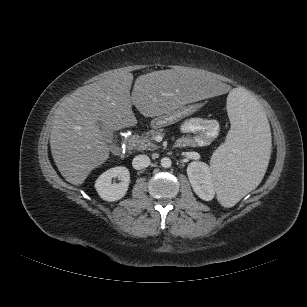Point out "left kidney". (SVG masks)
Segmentation results:
<instances>
[{
  "instance_id": "obj_1",
  "label": "left kidney",
  "mask_w": 307,
  "mask_h": 307,
  "mask_svg": "<svg viewBox=\"0 0 307 307\" xmlns=\"http://www.w3.org/2000/svg\"><path fill=\"white\" fill-rule=\"evenodd\" d=\"M188 179L194 192L203 200L214 198L215 187L211 169L201 161H193L187 167Z\"/></svg>"
}]
</instances>
